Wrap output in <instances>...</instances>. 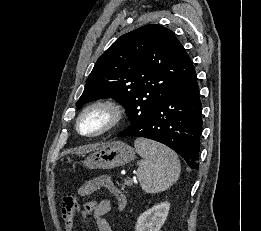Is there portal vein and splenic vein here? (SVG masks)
<instances>
[{
    "label": "portal vein and splenic vein",
    "instance_id": "1",
    "mask_svg": "<svg viewBox=\"0 0 261 231\" xmlns=\"http://www.w3.org/2000/svg\"><path fill=\"white\" fill-rule=\"evenodd\" d=\"M127 184H132V180H128V181H127Z\"/></svg>",
    "mask_w": 261,
    "mask_h": 231
}]
</instances>
